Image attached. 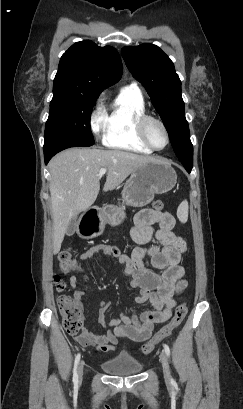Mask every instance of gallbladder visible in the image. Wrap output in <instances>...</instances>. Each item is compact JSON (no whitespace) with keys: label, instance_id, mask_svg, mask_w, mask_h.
<instances>
[{"label":"gallbladder","instance_id":"bac80fb5","mask_svg":"<svg viewBox=\"0 0 243 409\" xmlns=\"http://www.w3.org/2000/svg\"><path fill=\"white\" fill-rule=\"evenodd\" d=\"M76 227H77V218L74 217L70 220L67 228H66V235L67 236H72L75 231H76Z\"/></svg>","mask_w":243,"mask_h":409}]
</instances>
